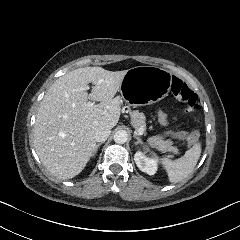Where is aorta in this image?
Instances as JSON below:
<instances>
[{
  "mask_svg": "<svg viewBox=\"0 0 240 240\" xmlns=\"http://www.w3.org/2000/svg\"><path fill=\"white\" fill-rule=\"evenodd\" d=\"M113 139L117 144H124L127 142L128 134L125 130H118L115 132Z\"/></svg>",
  "mask_w": 240,
  "mask_h": 240,
  "instance_id": "762f6f07",
  "label": "aorta"
}]
</instances>
